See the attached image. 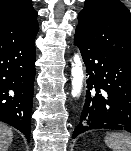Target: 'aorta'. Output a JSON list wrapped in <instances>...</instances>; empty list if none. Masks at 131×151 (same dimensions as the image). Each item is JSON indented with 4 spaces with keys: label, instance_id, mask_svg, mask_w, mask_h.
<instances>
[{
    "label": "aorta",
    "instance_id": "762f6f07",
    "mask_svg": "<svg viewBox=\"0 0 131 151\" xmlns=\"http://www.w3.org/2000/svg\"><path fill=\"white\" fill-rule=\"evenodd\" d=\"M72 96L79 97L83 88V70L80 57L76 54L71 68Z\"/></svg>",
    "mask_w": 131,
    "mask_h": 151
}]
</instances>
